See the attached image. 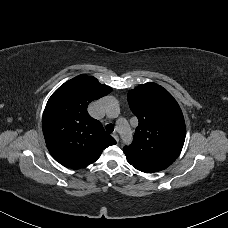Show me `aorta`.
Returning <instances> with one entry per match:
<instances>
[{"instance_id":"762f6f07","label":"aorta","mask_w":228,"mask_h":228,"mask_svg":"<svg viewBox=\"0 0 228 228\" xmlns=\"http://www.w3.org/2000/svg\"><path fill=\"white\" fill-rule=\"evenodd\" d=\"M108 112L109 113H118L119 112V107L116 103H111L109 106H108ZM118 126L121 128L122 130V137H123V140L125 143H128L131 141L132 139V134L130 132V129H129V125L126 123V121L124 120H120L118 122Z\"/></svg>"}]
</instances>
